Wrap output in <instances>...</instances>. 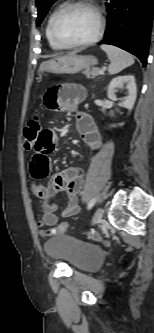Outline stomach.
<instances>
[{"instance_id":"0dacf381","label":"stomach","mask_w":154,"mask_h":333,"mask_svg":"<svg viewBox=\"0 0 154 333\" xmlns=\"http://www.w3.org/2000/svg\"><path fill=\"white\" fill-rule=\"evenodd\" d=\"M96 63L97 59L92 55L69 54L43 62L39 67V72L75 74L95 65Z\"/></svg>"}]
</instances>
